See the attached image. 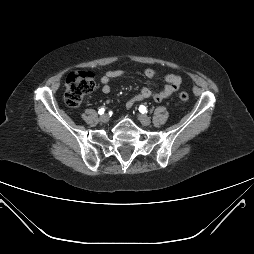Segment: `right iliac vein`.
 I'll list each match as a JSON object with an SVG mask.
<instances>
[{"label": "right iliac vein", "mask_w": 254, "mask_h": 254, "mask_svg": "<svg viewBox=\"0 0 254 254\" xmlns=\"http://www.w3.org/2000/svg\"><path fill=\"white\" fill-rule=\"evenodd\" d=\"M100 121L102 123H107L109 121V116L108 114H103L102 116H100Z\"/></svg>", "instance_id": "63e3f726"}]
</instances>
